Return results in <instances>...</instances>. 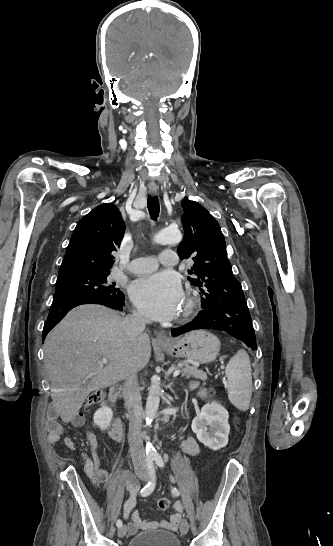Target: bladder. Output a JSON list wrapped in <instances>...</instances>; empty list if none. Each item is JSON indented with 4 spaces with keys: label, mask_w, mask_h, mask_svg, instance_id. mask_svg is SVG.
<instances>
[{
    "label": "bladder",
    "mask_w": 333,
    "mask_h": 546,
    "mask_svg": "<svg viewBox=\"0 0 333 546\" xmlns=\"http://www.w3.org/2000/svg\"><path fill=\"white\" fill-rule=\"evenodd\" d=\"M127 546H181L179 539L171 532L150 530L134 535Z\"/></svg>",
    "instance_id": "1"
}]
</instances>
